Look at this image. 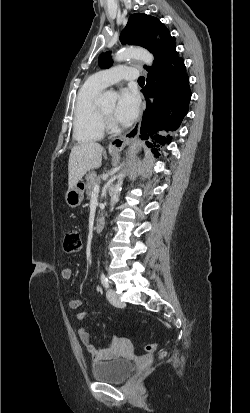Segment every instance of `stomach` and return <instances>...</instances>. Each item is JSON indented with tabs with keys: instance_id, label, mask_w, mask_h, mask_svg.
Masks as SVG:
<instances>
[{
	"instance_id": "stomach-1",
	"label": "stomach",
	"mask_w": 250,
	"mask_h": 413,
	"mask_svg": "<svg viewBox=\"0 0 250 413\" xmlns=\"http://www.w3.org/2000/svg\"><path fill=\"white\" fill-rule=\"evenodd\" d=\"M111 155L116 153L111 152ZM84 198V184L80 181L72 189H69L65 194V201L71 208L78 207Z\"/></svg>"
}]
</instances>
